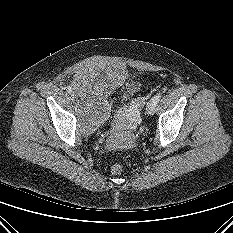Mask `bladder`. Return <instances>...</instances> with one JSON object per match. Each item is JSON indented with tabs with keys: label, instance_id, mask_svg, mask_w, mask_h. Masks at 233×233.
Masks as SVG:
<instances>
[{
	"label": "bladder",
	"instance_id": "bladder-1",
	"mask_svg": "<svg viewBox=\"0 0 233 233\" xmlns=\"http://www.w3.org/2000/svg\"><path fill=\"white\" fill-rule=\"evenodd\" d=\"M126 86V94H133L137 83H127L124 70L98 62L82 65L72 82V96L78 105L83 129L92 132L110 116V97Z\"/></svg>",
	"mask_w": 233,
	"mask_h": 233
}]
</instances>
